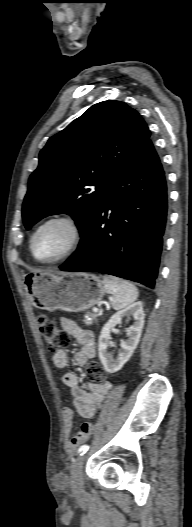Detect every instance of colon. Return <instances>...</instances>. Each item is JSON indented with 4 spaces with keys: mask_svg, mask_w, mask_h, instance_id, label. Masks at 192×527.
I'll return each mask as SVG.
<instances>
[{
    "mask_svg": "<svg viewBox=\"0 0 192 527\" xmlns=\"http://www.w3.org/2000/svg\"><path fill=\"white\" fill-rule=\"evenodd\" d=\"M38 326L46 346L52 352L69 345V334L61 329L54 320L45 315H41L38 318ZM86 376L92 384L101 385L106 381V373L103 367L96 361H92L87 365Z\"/></svg>",
    "mask_w": 192,
    "mask_h": 527,
    "instance_id": "obj_1",
    "label": "colon"
}]
</instances>
